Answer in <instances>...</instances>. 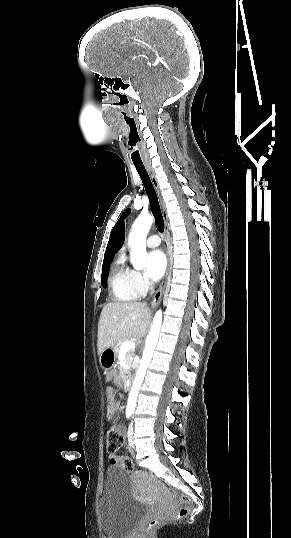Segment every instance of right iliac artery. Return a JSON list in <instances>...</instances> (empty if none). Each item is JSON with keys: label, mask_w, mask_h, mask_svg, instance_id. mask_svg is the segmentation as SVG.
I'll return each instance as SVG.
<instances>
[{"label": "right iliac artery", "mask_w": 291, "mask_h": 538, "mask_svg": "<svg viewBox=\"0 0 291 538\" xmlns=\"http://www.w3.org/2000/svg\"><path fill=\"white\" fill-rule=\"evenodd\" d=\"M130 415H131V414H129V413H128V414H126V417H127V419H129Z\"/></svg>", "instance_id": "82829eb1"}]
</instances>
